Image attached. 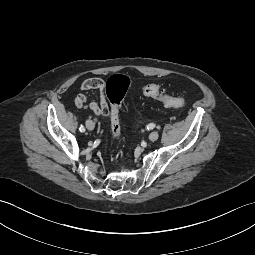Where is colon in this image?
Masks as SVG:
<instances>
[{
    "label": "colon",
    "mask_w": 255,
    "mask_h": 255,
    "mask_svg": "<svg viewBox=\"0 0 255 255\" xmlns=\"http://www.w3.org/2000/svg\"><path fill=\"white\" fill-rule=\"evenodd\" d=\"M130 86V80L122 74L111 76L106 82V92L112 105L111 132L114 139L118 140L121 133L119 120V107ZM144 95L159 100L165 107L182 108L186 106L187 100L183 97H173L164 94L159 86L147 84L142 88Z\"/></svg>",
    "instance_id": "obj_1"
}]
</instances>
